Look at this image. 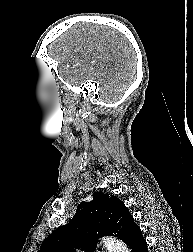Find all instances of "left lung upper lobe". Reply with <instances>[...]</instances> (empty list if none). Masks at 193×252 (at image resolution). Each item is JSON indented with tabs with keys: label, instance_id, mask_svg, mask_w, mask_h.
Masks as SVG:
<instances>
[{
	"label": "left lung upper lobe",
	"instance_id": "obj_1",
	"mask_svg": "<svg viewBox=\"0 0 193 252\" xmlns=\"http://www.w3.org/2000/svg\"><path fill=\"white\" fill-rule=\"evenodd\" d=\"M136 226L120 199L94 192L91 202L80 203L70 222L57 228L43 241L40 252H75L81 243L87 252H94L97 239L108 235L128 244Z\"/></svg>",
	"mask_w": 193,
	"mask_h": 252
}]
</instances>
